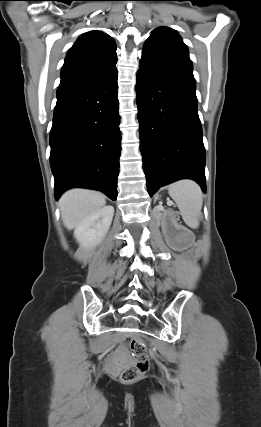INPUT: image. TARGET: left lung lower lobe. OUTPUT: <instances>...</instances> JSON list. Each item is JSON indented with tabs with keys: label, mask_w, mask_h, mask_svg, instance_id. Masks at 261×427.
<instances>
[{
	"label": "left lung lower lobe",
	"mask_w": 261,
	"mask_h": 427,
	"mask_svg": "<svg viewBox=\"0 0 261 427\" xmlns=\"http://www.w3.org/2000/svg\"><path fill=\"white\" fill-rule=\"evenodd\" d=\"M192 69L142 53L136 83L140 150L149 195L180 179L206 193L205 149Z\"/></svg>",
	"instance_id": "1"
}]
</instances>
